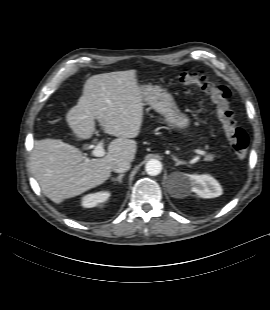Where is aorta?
<instances>
[{"label": "aorta", "mask_w": 270, "mask_h": 310, "mask_svg": "<svg viewBox=\"0 0 270 310\" xmlns=\"http://www.w3.org/2000/svg\"><path fill=\"white\" fill-rule=\"evenodd\" d=\"M162 164L156 159L149 160L145 165V171L150 176H156L161 173Z\"/></svg>", "instance_id": "762f6f07"}]
</instances>
